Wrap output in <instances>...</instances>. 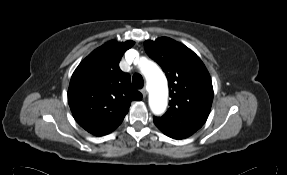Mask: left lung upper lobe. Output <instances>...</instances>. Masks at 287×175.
Returning a JSON list of instances; mask_svg holds the SVG:
<instances>
[{
	"mask_svg": "<svg viewBox=\"0 0 287 175\" xmlns=\"http://www.w3.org/2000/svg\"><path fill=\"white\" fill-rule=\"evenodd\" d=\"M149 57L165 72L171 100L155 125L179 138H187L206 122L213 101L210 75L201 59L188 47L162 37L144 43Z\"/></svg>",
	"mask_w": 287,
	"mask_h": 175,
	"instance_id": "obj_1",
	"label": "left lung upper lobe"
}]
</instances>
